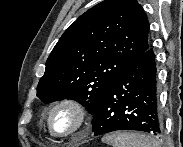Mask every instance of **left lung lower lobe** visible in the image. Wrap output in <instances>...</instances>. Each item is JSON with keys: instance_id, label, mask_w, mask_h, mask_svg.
Masks as SVG:
<instances>
[{"instance_id": "obj_1", "label": "left lung lower lobe", "mask_w": 183, "mask_h": 147, "mask_svg": "<svg viewBox=\"0 0 183 147\" xmlns=\"http://www.w3.org/2000/svg\"><path fill=\"white\" fill-rule=\"evenodd\" d=\"M156 63L148 48L111 83L93 113V132L136 130L153 135L162 131L158 113Z\"/></svg>"}]
</instances>
